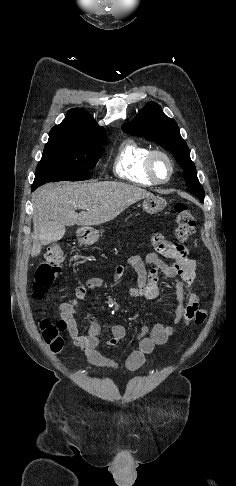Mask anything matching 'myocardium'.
<instances>
[{
  "label": "myocardium",
  "instance_id": "f54148a6",
  "mask_svg": "<svg viewBox=\"0 0 236 486\" xmlns=\"http://www.w3.org/2000/svg\"><path fill=\"white\" fill-rule=\"evenodd\" d=\"M156 157L164 158L169 165V174H168L167 178H165V179L157 178V176L154 173L153 162H154V159ZM144 169H145V173H146L147 177L154 184H165V183L169 182L171 180V178L173 177L174 171H175L174 162H173V159L171 158V156L167 152H165L163 150H158V149L151 150L148 153V155L145 159Z\"/></svg>",
  "mask_w": 236,
  "mask_h": 486
}]
</instances>
